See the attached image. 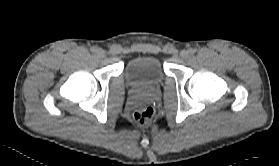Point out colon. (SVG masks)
I'll return each mask as SVG.
<instances>
[{
    "label": "colon",
    "instance_id": "1",
    "mask_svg": "<svg viewBox=\"0 0 279 166\" xmlns=\"http://www.w3.org/2000/svg\"><path fill=\"white\" fill-rule=\"evenodd\" d=\"M134 120L139 124L140 126L147 125L154 116V109L151 106H144L141 108H138L134 112Z\"/></svg>",
    "mask_w": 279,
    "mask_h": 166
}]
</instances>
